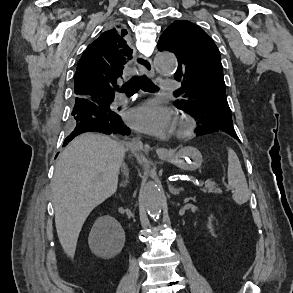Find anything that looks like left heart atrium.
I'll use <instances>...</instances> for the list:
<instances>
[{"label":"left heart atrium","mask_w":293,"mask_h":293,"mask_svg":"<svg viewBox=\"0 0 293 293\" xmlns=\"http://www.w3.org/2000/svg\"><path fill=\"white\" fill-rule=\"evenodd\" d=\"M127 122L133 128L153 135H165L173 128L170 110L153 101L131 109L127 114Z\"/></svg>","instance_id":"39dd6f15"}]
</instances>
